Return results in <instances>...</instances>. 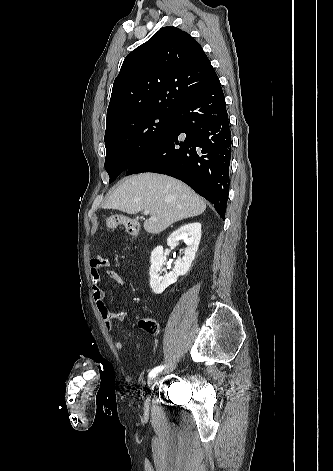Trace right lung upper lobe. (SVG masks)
Wrapping results in <instances>:
<instances>
[{
  "label": "right lung upper lobe",
  "mask_w": 333,
  "mask_h": 471,
  "mask_svg": "<svg viewBox=\"0 0 333 471\" xmlns=\"http://www.w3.org/2000/svg\"><path fill=\"white\" fill-rule=\"evenodd\" d=\"M217 80L194 38L179 28L163 27L126 56L113 84L106 128L139 112H176Z\"/></svg>",
  "instance_id": "cb5924a9"
}]
</instances>
